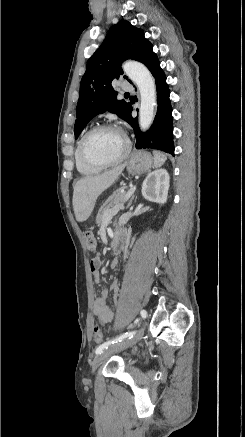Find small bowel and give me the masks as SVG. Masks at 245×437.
<instances>
[{
    "label": "small bowel",
    "mask_w": 245,
    "mask_h": 437,
    "mask_svg": "<svg viewBox=\"0 0 245 437\" xmlns=\"http://www.w3.org/2000/svg\"><path fill=\"white\" fill-rule=\"evenodd\" d=\"M99 268H100V257L99 255H97L91 262V271L96 283L100 281ZM118 289H119V283L118 281H114L110 285L109 289L102 290L100 296L95 299L93 312L102 324H109L114 319V310L108 304L107 296L109 291L113 292L116 295ZM115 303H117L116 298H115Z\"/></svg>",
    "instance_id": "obj_1"
}]
</instances>
